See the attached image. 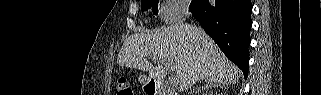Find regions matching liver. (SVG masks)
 Instances as JSON below:
<instances>
[{"instance_id":"1","label":"liver","mask_w":321,"mask_h":95,"mask_svg":"<svg viewBox=\"0 0 321 95\" xmlns=\"http://www.w3.org/2000/svg\"><path fill=\"white\" fill-rule=\"evenodd\" d=\"M147 57L158 65L153 66ZM117 63L146 71L149 78L158 81L167 74L165 64H171L180 91L189 88L193 80L225 86L236 84L241 76L240 70L202 29L183 23L154 34H133L123 43Z\"/></svg>"}]
</instances>
